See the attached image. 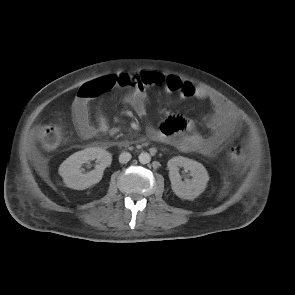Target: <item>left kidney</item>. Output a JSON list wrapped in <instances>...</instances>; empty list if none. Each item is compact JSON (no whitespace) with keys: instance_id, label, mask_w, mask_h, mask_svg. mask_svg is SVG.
<instances>
[{"instance_id":"left-kidney-1","label":"left kidney","mask_w":295,"mask_h":295,"mask_svg":"<svg viewBox=\"0 0 295 295\" xmlns=\"http://www.w3.org/2000/svg\"><path fill=\"white\" fill-rule=\"evenodd\" d=\"M167 166L172 190L179 198L191 200L205 191L209 176L207 170L201 163L177 156L170 159ZM179 167L190 171L192 176L190 181L185 183L181 180Z\"/></svg>"}]
</instances>
